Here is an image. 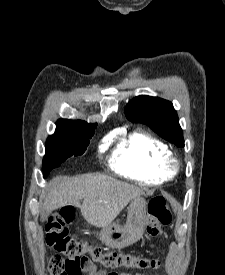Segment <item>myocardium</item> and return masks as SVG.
Wrapping results in <instances>:
<instances>
[{
    "mask_svg": "<svg viewBox=\"0 0 225 275\" xmlns=\"http://www.w3.org/2000/svg\"><path fill=\"white\" fill-rule=\"evenodd\" d=\"M167 166L173 173H175L180 169L181 163L177 157L171 155L168 158Z\"/></svg>",
    "mask_w": 225,
    "mask_h": 275,
    "instance_id": "1",
    "label": "myocardium"
}]
</instances>
